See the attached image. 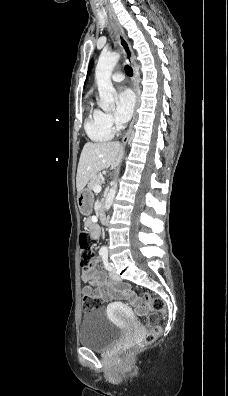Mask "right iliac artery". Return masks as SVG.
Wrapping results in <instances>:
<instances>
[{
  "mask_svg": "<svg viewBox=\"0 0 228 396\" xmlns=\"http://www.w3.org/2000/svg\"><path fill=\"white\" fill-rule=\"evenodd\" d=\"M104 252H100V255H102Z\"/></svg>",
  "mask_w": 228,
  "mask_h": 396,
  "instance_id": "82829eb1",
  "label": "right iliac artery"
}]
</instances>
